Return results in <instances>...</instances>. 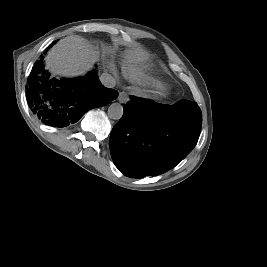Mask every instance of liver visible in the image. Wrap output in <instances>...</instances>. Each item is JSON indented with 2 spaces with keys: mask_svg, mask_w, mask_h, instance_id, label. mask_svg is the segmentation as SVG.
<instances>
[{
  "mask_svg": "<svg viewBox=\"0 0 267 267\" xmlns=\"http://www.w3.org/2000/svg\"><path fill=\"white\" fill-rule=\"evenodd\" d=\"M98 55L93 46L78 35L65 37L48 52L45 58L46 69L54 75L74 77L85 74L90 70ZM125 63L137 75H142L137 64L147 59L146 52L137 46L128 50Z\"/></svg>",
  "mask_w": 267,
  "mask_h": 267,
  "instance_id": "6515ba94",
  "label": "liver"
}]
</instances>
